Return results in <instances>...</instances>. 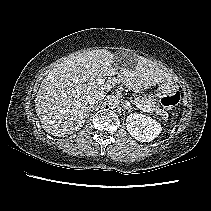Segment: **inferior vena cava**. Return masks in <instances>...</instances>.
I'll list each match as a JSON object with an SVG mask.
<instances>
[{
    "instance_id": "1",
    "label": "inferior vena cava",
    "mask_w": 211,
    "mask_h": 211,
    "mask_svg": "<svg viewBox=\"0 0 211 211\" xmlns=\"http://www.w3.org/2000/svg\"><path fill=\"white\" fill-rule=\"evenodd\" d=\"M105 96H106L105 91H98V92H96L93 95L88 97V104L89 105L97 104L98 102L103 100Z\"/></svg>"
}]
</instances>
